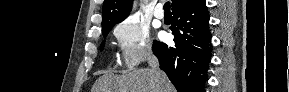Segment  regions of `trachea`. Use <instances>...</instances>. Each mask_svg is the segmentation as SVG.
Wrapping results in <instances>:
<instances>
[{
    "instance_id": "obj_1",
    "label": "trachea",
    "mask_w": 289,
    "mask_h": 92,
    "mask_svg": "<svg viewBox=\"0 0 289 92\" xmlns=\"http://www.w3.org/2000/svg\"><path fill=\"white\" fill-rule=\"evenodd\" d=\"M164 11H165L166 13H170V2H166V3L164 4Z\"/></svg>"
}]
</instances>
